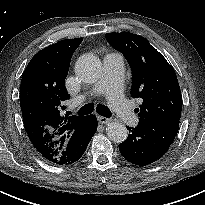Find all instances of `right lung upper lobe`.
<instances>
[{"label": "right lung upper lobe", "mask_w": 205, "mask_h": 205, "mask_svg": "<svg viewBox=\"0 0 205 205\" xmlns=\"http://www.w3.org/2000/svg\"><path fill=\"white\" fill-rule=\"evenodd\" d=\"M83 38L61 40L39 51L23 72L20 105L28 137L36 150L56 163L70 135L87 117L63 116L70 60Z\"/></svg>", "instance_id": "obj_1"}]
</instances>
